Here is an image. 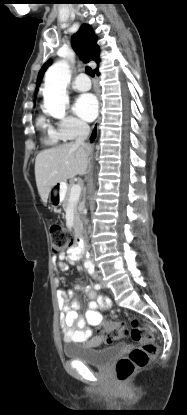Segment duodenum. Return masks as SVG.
<instances>
[{"label": "duodenum", "mask_w": 187, "mask_h": 415, "mask_svg": "<svg viewBox=\"0 0 187 415\" xmlns=\"http://www.w3.org/2000/svg\"><path fill=\"white\" fill-rule=\"evenodd\" d=\"M74 231H75V244L73 247V251L75 253H72V258L77 257L76 254L81 250L82 245H83L82 234L77 223L74 224Z\"/></svg>", "instance_id": "obj_1"}]
</instances>
